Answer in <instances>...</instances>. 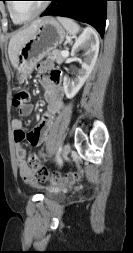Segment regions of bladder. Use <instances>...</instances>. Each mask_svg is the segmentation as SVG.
<instances>
[{"instance_id": "1", "label": "bladder", "mask_w": 133, "mask_h": 253, "mask_svg": "<svg viewBox=\"0 0 133 253\" xmlns=\"http://www.w3.org/2000/svg\"><path fill=\"white\" fill-rule=\"evenodd\" d=\"M44 195L52 200H58L61 199L63 197V193L59 190H55V189H46L44 191Z\"/></svg>"}]
</instances>
